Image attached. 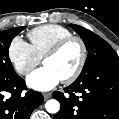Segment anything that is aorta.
<instances>
[{
  "label": "aorta",
  "mask_w": 119,
  "mask_h": 119,
  "mask_svg": "<svg viewBox=\"0 0 119 119\" xmlns=\"http://www.w3.org/2000/svg\"><path fill=\"white\" fill-rule=\"evenodd\" d=\"M46 111L49 113H57L60 109V104L57 100H48L45 104Z\"/></svg>",
  "instance_id": "762f6f07"
}]
</instances>
